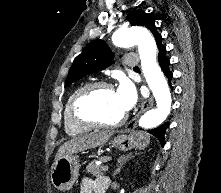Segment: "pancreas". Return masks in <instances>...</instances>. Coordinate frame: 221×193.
I'll return each instance as SVG.
<instances>
[{"label":"pancreas","mask_w":221,"mask_h":193,"mask_svg":"<svg viewBox=\"0 0 221 193\" xmlns=\"http://www.w3.org/2000/svg\"><path fill=\"white\" fill-rule=\"evenodd\" d=\"M103 160H106V159L103 158ZM102 167L103 166L101 165H96L95 161H92L86 166V170L88 173H91L93 176L99 177L103 175Z\"/></svg>","instance_id":"obj_1"}]
</instances>
